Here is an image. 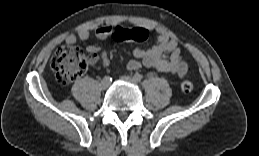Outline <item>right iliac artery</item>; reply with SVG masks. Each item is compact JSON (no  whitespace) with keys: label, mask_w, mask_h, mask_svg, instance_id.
Listing matches in <instances>:
<instances>
[{"label":"right iliac artery","mask_w":259,"mask_h":156,"mask_svg":"<svg viewBox=\"0 0 259 156\" xmlns=\"http://www.w3.org/2000/svg\"><path fill=\"white\" fill-rule=\"evenodd\" d=\"M104 80L111 81L112 79H111V77H109V76H105V77H104Z\"/></svg>","instance_id":"right-iliac-artery-1"}]
</instances>
